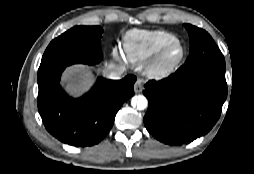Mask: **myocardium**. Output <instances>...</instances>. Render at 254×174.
I'll return each instance as SVG.
<instances>
[{"label": "myocardium", "instance_id": "myocardium-1", "mask_svg": "<svg viewBox=\"0 0 254 174\" xmlns=\"http://www.w3.org/2000/svg\"><path fill=\"white\" fill-rule=\"evenodd\" d=\"M175 47L180 48L179 56L174 60H168V53ZM185 57V47L178 40L165 44L152 58L149 65L150 75L156 78H164L172 74Z\"/></svg>", "mask_w": 254, "mask_h": 174}]
</instances>
